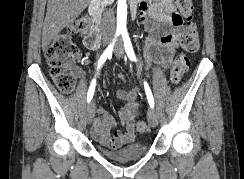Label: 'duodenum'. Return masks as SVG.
<instances>
[{
    "label": "duodenum",
    "instance_id": "410a0bca",
    "mask_svg": "<svg viewBox=\"0 0 244 179\" xmlns=\"http://www.w3.org/2000/svg\"><path fill=\"white\" fill-rule=\"evenodd\" d=\"M99 4L96 1H93L91 4V8L89 10L90 17L94 21V30L89 36L90 42L94 45V48L97 47L101 43V35H100V27L98 23L99 19ZM130 11L132 14L136 15L137 11L135 10V7L130 8Z\"/></svg>",
    "mask_w": 244,
    "mask_h": 179
}]
</instances>
